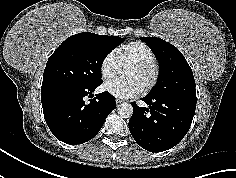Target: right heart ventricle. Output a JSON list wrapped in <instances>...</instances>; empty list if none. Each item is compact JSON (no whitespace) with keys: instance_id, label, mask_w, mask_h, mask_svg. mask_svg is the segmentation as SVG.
<instances>
[{"instance_id":"1","label":"right heart ventricle","mask_w":236,"mask_h":178,"mask_svg":"<svg viewBox=\"0 0 236 178\" xmlns=\"http://www.w3.org/2000/svg\"><path fill=\"white\" fill-rule=\"evenodd\" d=\"M120 66L125 67L133 62L156 63V55L145 43L134 41L123 45L116 51Z\"/></svg>"}]
</instances>
